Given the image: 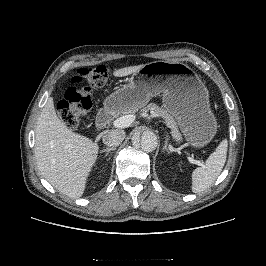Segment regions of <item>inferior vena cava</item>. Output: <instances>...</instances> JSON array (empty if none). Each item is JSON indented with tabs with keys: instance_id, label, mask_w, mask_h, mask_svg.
I'll use <instances>...</instances> for the list:
<instances>
[{
	"instance_id": "602c4592",
	"label": "inferior vena cava",
	"mask_w": 266,
	"mask_h": 266,
	"mask_svg": "<svg viewBox=\"0 0 266 266\" xmlns=\"http://www.w3.org/2000/svg\"><path fill=\"white\" fill-rule=\"evenodd\" d=\"M125 138V132L123 130L114 129L106 131L103 135V143L107 146H118Z\"/></svg>"
}]
</instances>
